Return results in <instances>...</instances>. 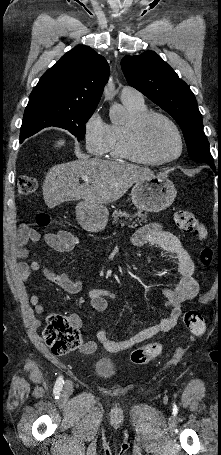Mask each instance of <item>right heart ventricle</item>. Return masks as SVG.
<instances>
[{
  "instance_id": "e07e8e85",
  "label": "right heart ventricle",
  "mask_w": 221,
  "mask_h": 455,
  "mask_svg": "<svg viewBox=\"0 0 221 455\" xmlns=\"http://www.w3.org/2000/svg\"><path fill=\"white\" fill-rule=\"evenodd\" d=\"M128 113L129 120L124 125H110L109 139L106 154L109 158L115 160H129L140 163H149L144 158L134 154L128 145V129L133 121L147 112L144 104L134 105L124 103Z\"/></svg>"
}]
</instances>
